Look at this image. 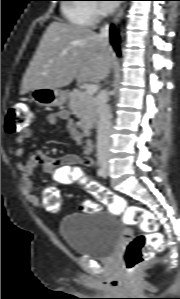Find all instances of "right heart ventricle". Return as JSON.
I'll list each match as a JSON object with an SVG mask.
<instances>
[{
	"mask_svg": "<svg viewBox=\"0 0 180 299\" xmlns=\"http://www.w3.org/2000/svg\"><path fill=\"white\" fill-rule=\"evenodd\" d=\"M64 14L68 22L75 26L89 27L94 23L90 4H68L64 7Z\"/></svg>",
	"mask_w": 180,
	"mask_h": 299,
	"instance_id": "e07e8e85",
	"label": "right heart ventricle"
}]
</instances>
